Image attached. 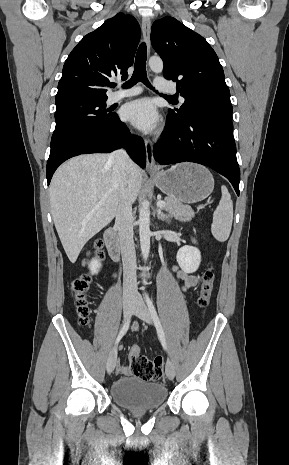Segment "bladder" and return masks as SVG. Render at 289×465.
Masks as SVG:
<instances>
[{
	"label": "bladder",
	"instance_id": "31cf9c89",
	"mask_svg": "<svg viewBox=\"0 0 289 465\" xmlns=\"http://www.w3.org/2000/svg\"><path fill=\"white\" fill-rule=\"evenodd\" d=\"M109 394L111 399L122 407L148 410L155 409L166 401L168 389L159 382L124 377L111 384Z\"/></svg>",
	"mask_w": 289,
	"mask_h": 465
}]
</instances>
